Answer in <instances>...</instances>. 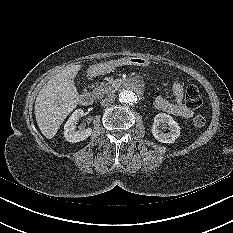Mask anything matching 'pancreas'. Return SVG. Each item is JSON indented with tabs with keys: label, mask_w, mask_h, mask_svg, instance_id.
Returning a JSON list of instances; mask_svg holds the SVG:
<instances>
[{
	"label": "pancreas",
	"mask_w": 233,
	"mask_h": 233,
	"mask_svg": "<svg viewBox=\"0 0 233 233\" xmlns=\"http://www.w3.org/2000/svg\"><path fill=\"white\" fill-rule=\"evenodd\" d=\"M113 91L114 88L112 86H109L106 82H100V83H96L92 94L94 98L101 99L105 95L110 94Z\"/></svg>",
	"instance_id": "cf45deb5"
}]
</instances>
